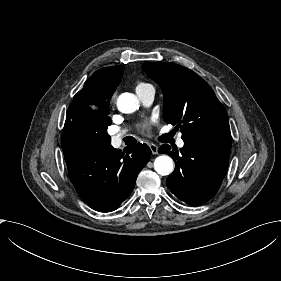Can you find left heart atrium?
Segmentation results:
<instances>
[{"mask_svg":"<svg viewBox=\"0 0 281 281\" xmlns=\"http://www.w3.org/2000/svg\"><path fill=\"white\" fill-rule=\"evenodd\" d=\"M155 123V120L154 119H150V120H146L144 122H141L139 124V128L142 129V130H148L150 125Z\"/></svg>","mask_w":281,"mask_h":281,"instance_id":"obj_1","label":"left heart atrium"}]
</instances>
